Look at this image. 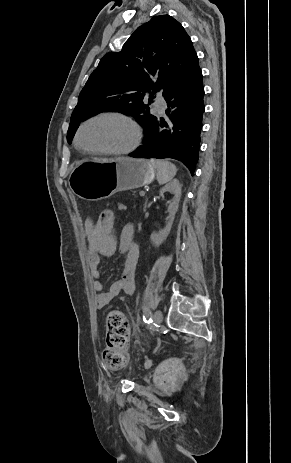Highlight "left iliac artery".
<instances>
[{"mask_svg":"<svg viewBox=\"0 0 291 463\" xmlns=\"http://www.w3.org/2000/svg\"><path fill=\"white\" fill-rule=\"evenodd\" d=\"M151 320V312L148 308L144 309L143 321L149 323Z\"/></svg>","mask_w":291,"mask_h":463,"instance_id":"obj_1","label":"left iliac artery"}]
</instances>
